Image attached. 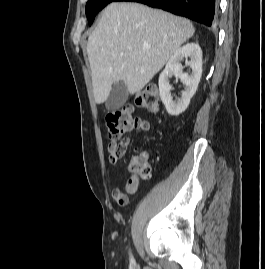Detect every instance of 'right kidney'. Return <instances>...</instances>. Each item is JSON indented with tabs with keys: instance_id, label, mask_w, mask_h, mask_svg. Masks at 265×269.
<instances>
[{
	"instance_id": "ca27d5eb",
	"label": "right kidney",
	"mask_w": 265,
	"mask_h": 269,
	"mask_svg": "<svg viewBox=\"0 0 265 269\" xmlns=\"http://www.w3.org/2000/svg\"><path fill=\"white\" fill-rule=\"evenodd\" d=\"M190 58L186 62L191 68V73H183L181 61ZM175 75L185 85L181 98L173 101L171 96V85L169 79ZM202 76V51L197 43H187L179 48L169 59L165 69L159 76L160 97L165 108L171 116H178L186 110L191 98L195 94Z\"/></svg>"
}]
</instances>
